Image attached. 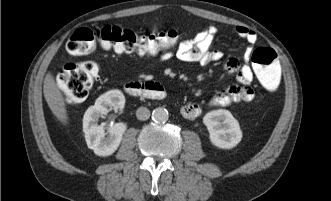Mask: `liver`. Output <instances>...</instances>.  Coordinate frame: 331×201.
I'll return each mask as SVG.
<instances>
[{"instance_id": "6515ba94", "label": "liver", "mask_w": 331, "mask_h": 201, "mask_svg": "<svg viewBox=\"0 0 331 201\" xmlns=\"http://www.w3.org/2000/svg\"><path fill=\"white\" fill-rule=\"evenodd\" d=\"M43 93L52 113L61 123L67 125L68 114L65 99L60 89L58 88L53 75L50 72L45 76Z\"/></svg>"}]
</instances>
